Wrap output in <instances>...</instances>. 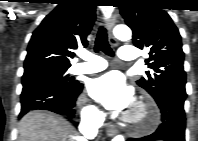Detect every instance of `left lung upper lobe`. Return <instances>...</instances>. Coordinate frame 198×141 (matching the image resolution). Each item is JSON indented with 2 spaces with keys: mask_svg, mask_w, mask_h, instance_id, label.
<instances>
[{
  "mask_svg": "<svg viewBox=\"0 0 198 141\" xmlns=\"http://www.w3.org/2000/svg\"><path fill=\"white\" fill-rule=\"evenodd\" d=\"M156 0H125L120 13L133 31V43L149 50L151 71L137 81L153 98L164 91L185 92L186 73L181 36Z\"/></svg>",
  "mask_w": 198,
  "mask_h": 141,
  "instance_id": "5c2ea615",
  "label": "left lung upper lobe"
}]
</instances>
